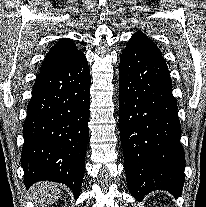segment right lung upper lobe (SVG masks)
<instances>
[{
    "mask_svg": "<svg viewBox=\"0 0 206 207\" xmlns=\"http://www.w3.org/2000/svg\"><path fill=\"white\" fill-rule=\"evenodd\" d=\"M83 55L84 54L76 48L71 39H61L51 47L45 56L39 73L58 69L75 61Z\"/></svg>",
    "mask_w": 206,
    "mask_h": 207,
    "instance_id": "obj_1",
    "label": "right lung upper lobe"
}]
</instances>
